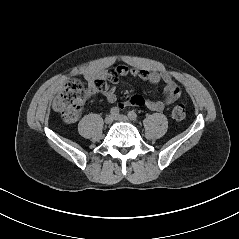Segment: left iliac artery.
Instances as JSON below:
<instances>
[{
  "mask_svg": "<svg viewBox=\"0 0 239 239\" xmlns=\"http://www.w3.org/2000/svg\"><path fill=\"white\" fill-rule=\"evenodd\" d=\"M128 117L132 120H136L137 114L134 111H130V112H128Z\"/></svg>",
  "mask_w": 239,
  "mask_h": 239,
  "instance_id": "left-iliac-artery-1",
  "label": "left iliac artery"
}]
</instances>
